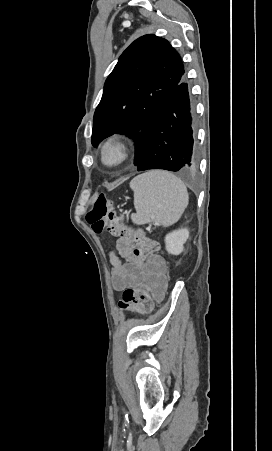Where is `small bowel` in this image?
I'll return each mask as SVG.
<instances>
[{"label": "small bowel", "mask_w": 272, "mask_h": 451, "mask_svg": "<svg viewBox=\"0 0 272 451\" xmlns=\"http://www.w3.org/2000/svg\"><path fill=\"white\" fill-rule=\"evenodd\" d=\"M109 261L112 266V285L116 291H124L146 282L145 270L148 265H152L157 275L164 278L168 269L165 259L154 253H144L142 260H135L131 245H122L121 238L116 241V252H110Z\"/></svg>", "instance_id": "c3829d8e"}]
</instances>
